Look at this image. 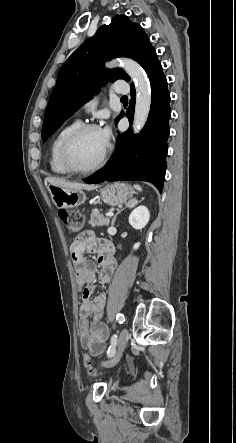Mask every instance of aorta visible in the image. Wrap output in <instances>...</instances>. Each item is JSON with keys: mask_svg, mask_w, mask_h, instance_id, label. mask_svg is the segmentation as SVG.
Segmentation results:
<instances>
[{"mask_svg": "<svg viewBox=\"0 0 236 443\" xmlns=\"http://www.w3.org/2000/svg\"><path fill=\"white\" fill-rule=\"evenodd\" d=\"M127 74L134 80L136 86V103L133 129L139 133L146 124L151 107V87L142 67L132 59L118 60ZM116 63V61H113Z\"/></svg>", "mask_w": 236, "mask_h": 443, "instance_id": "762f6f07", "label": "aorta"}]
</instances>
